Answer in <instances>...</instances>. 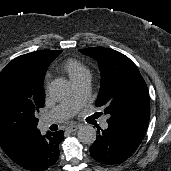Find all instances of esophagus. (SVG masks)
I'll use <instances>...</instances> for the list:
<instances>
[{"mask_svg": "<svg viewBox=\"0 0 171 171\" xmlns=\"http://www.w3.org/2000/svg\"><path fill=\"white\" fill-rule=\"evenodd\" d=\"M80 128V125H70L66 127V131L68 132H74Z\"/></svg>", "mask_w": 171, "mask_h": 171, "instance_id": "obj_1", "label": "esophagus"}]
</instances>
